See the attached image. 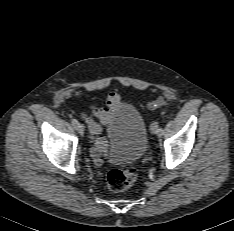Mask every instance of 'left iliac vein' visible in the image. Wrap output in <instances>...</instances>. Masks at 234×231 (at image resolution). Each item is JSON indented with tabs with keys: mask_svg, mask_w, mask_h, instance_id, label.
<instances>
[{
	"mask_svg": "<svg viewBox=\"0 0 234 231\" xmlns=\"http://www.w3.org/2000/svg\"><path fill=\"white\" fill-rule=\"evenodd\" d=\"M151 131L153 134H158V123L154 122L151 126Z\"/></svg>",
	"mask_w": 234,
	"mask_h": 231,
	"instance_id": "obj_1",
	"label": "left iliac vein"
}]
</instances>
